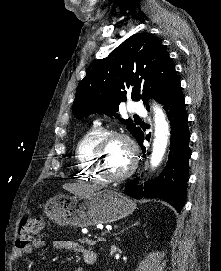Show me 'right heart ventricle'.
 <instances>
[{"label":"right heart ventricle","mask_w":221,"mask_h":271,"mask_svg":"<svg viewBox=\"0 0 221 271\" xmlns=\"http://www.w3.org/2000/svg\"><path fill=\"white\" fill-rule=\"evenodd\" d=\"M105 133L102 131H91L85 134L76 145V163L80 164L81 171L79 172L80 176H83L84 179H92V183H106V178H103L102 174H97L94 169L97 168V165L94 164L93 158H96L93 155V150H96V144H101V140L104 137Z\"/></svg>","instance_id":"e07e8e85"}]
</instances>
